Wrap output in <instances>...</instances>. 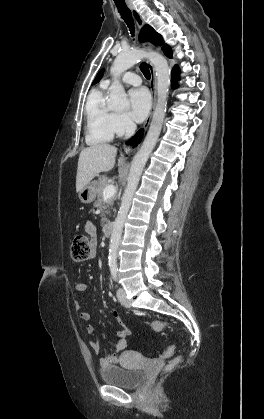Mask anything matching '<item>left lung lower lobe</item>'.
<instances>
[{"instance_id":"0a47b994","label":"left lung lower lobe","mask_w":264,"mask_h":419,"mask_svg":"<svg viewBox=\"0 0 264 419\" xmlns=\"http://www.w3.org/2000/svg\"><path fill=\"white\" fill-rule=\"evenodd\" d=\"M168 57H172V54H171V52H169V53H165ZM178 75H179V69H178V67L175 65L174 66V68H173V86L175 87V85H176V80H177V78H178Z\"/></svg>"}]
</instances>
